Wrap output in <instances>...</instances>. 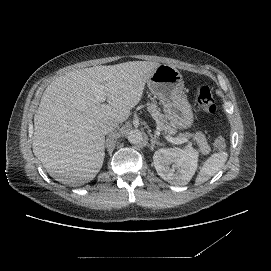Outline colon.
Listing matches in <instances>:
<instances>
[{
	"label": "colon",
	"mask_w": 271,
	"mask_h": 271,
	"mask_svg": "<svg viewBox=\"0 0 271 271\" xmlns=\"http://www.w3.org/2000/svg\"><path fill=\"white\" fill-rule=\"evenodd\" d=\"M195 100L199 109L207 114H213L216 111V104L211 89L206 85H198L195 91ZM226 138L223 135L218 136L214 145L217 149L226 147Z\"/></svg>",
	"instance_id": "obj_1"
}]
</instances>
